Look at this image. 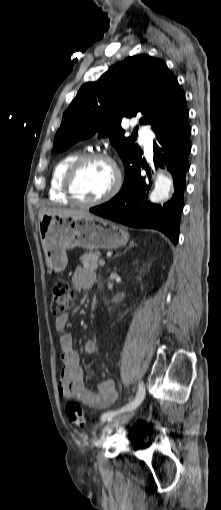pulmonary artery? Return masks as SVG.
<instances>
[{
  "label": "pulmonary artery",
  "mask_w": 221,
  "mask_h": 510,
  "mask_svg": "<svg viewBox=\"0 0 221 510\" xmlns=\"http://www.w3.org/2000/svg\"><path fill=\"white\" fill-rule=\"evenodd\" d=\"M141 145L144 147L148 155L152 154L153 149V133L152 131L142 127L139 134Z\"/></svg>",
  "instance_id": "1"
}]
</instances>
